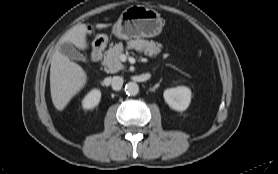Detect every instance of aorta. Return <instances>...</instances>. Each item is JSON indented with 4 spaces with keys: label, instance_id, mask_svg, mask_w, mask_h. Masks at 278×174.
<instances>
[{
    "label": "aorta",
    "instance_id": "1",
    "mask_svg": "<svg viewBox=\"0 0 278 174\" xmlns=\"http://www.w3.org/2000/svg\"><path fill=\"white\" fill-rule=\"evenodd\" d=\"M125 90L128 95L135 96L139 92V86L135 82H129L126 84Z\"/></svg>",
    "mask_w": 278,
    "mask_h": 174
}]
</instances>
